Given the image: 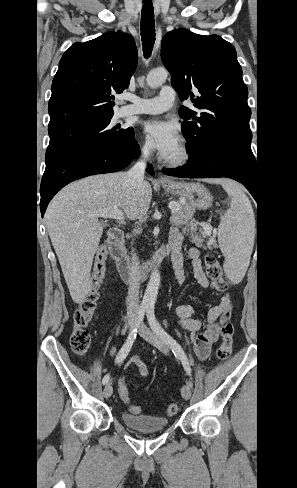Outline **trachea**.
I'll return each instance as SVG.
<instances>
[{"label": "trachea", "instance_id": "1", "mask_svg": "<svg viewBox=\"0 0 297 488\" xmlns=\"http://www.w3.org/2000/svg\"><path fill=\"white\" fill-rule=\"evenodd\" d=\"M140 29L144 56L149 58L155 43L154 9L151 2L143 4Z\"/></svg>", "mask_w": 297, "mask_h": 488}]
</instances>
